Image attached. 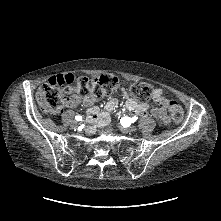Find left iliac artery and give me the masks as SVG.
<instances>
[{
  "label": "left iliac artery",
  "mask_w": 221,
  "mask_h": 221,
  "mask_svg": "<svg viewBox=\"0 0 221 221\" xmlns=\"http://www.w3.org/2000/svg\"><path fill=\"white\" fill-rule=\"evenodd\" d=\"M137 119H138L137 116H134L132 118L125 116L121 118L120 123L122 124L123 127H129L131 123H134Z\"/></svg>",
  "instance_id": "1"
}]
</instances>
